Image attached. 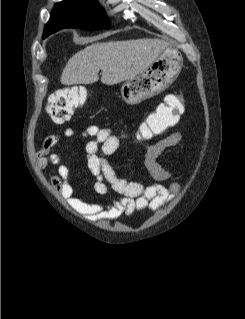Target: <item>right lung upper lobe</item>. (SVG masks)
I'll use <instances>...</instances> for the list:
<instances>
[{"label": "right lung upper lobe", "instance_id": "obj_1", "mask_svg": "<svg viewBox=\"0 0 245 319\" xmlns=\"http://www.w3.org/2000/svg\"><path fill=\"white\" fill-rule=\"evenodd\" d=\"M50 25H51V21L46 25L45 29H47Z\"/></svg>", "mask_w": 245, "mask_h": 319}]
</instances>
